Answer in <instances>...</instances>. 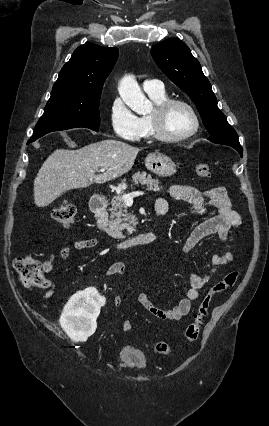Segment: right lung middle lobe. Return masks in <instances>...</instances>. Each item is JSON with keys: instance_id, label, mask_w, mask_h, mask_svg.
<instances>
[{"instance_id": "right-lung-middle-lobe-1", "label": "right lung middle lobe", "mask_w": 269, "mask_h": 426, "mask_svg": "<svg viewBox=\"0 0 269 426\" xmlns=\"http://www.w3.org/2000/svg\"><path fill=\"white\" fill-rule=\"evenodd\" d=\"M100 96L71 97L65 92L52 93L29 143L52 131L77 127L98 131Z\"/></svg>"}]
</instances>
